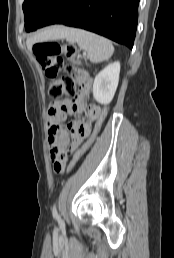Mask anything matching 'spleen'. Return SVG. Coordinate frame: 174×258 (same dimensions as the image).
Segmentation results:
<instances>
[{
	"instance_id": "1",
	"label": "spleen",
	"mask_w": 174,
	"mask_h": 258,
	"mask_svg": "<svg viewBox=\"0 0 174 258\" xmlns=\"http://www.w3.org/2000/svg\"><path fill=\"white\" fill-rule=\"evenodd\" d=\"M61 37L69 43H77L80 49L88 53L92 62H101L109 59L114 47L108 39L83 29L63 27Z\"/></svg>"
}]
</instances>
